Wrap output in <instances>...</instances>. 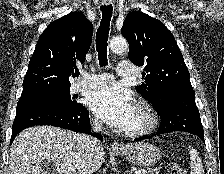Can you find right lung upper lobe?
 Wrapping results in <instances>:
<instances>
[{
  "mask_svg": "<svg viewBox=\"0 0 224 174\" xmlns=\"http://www.w3.org/2000/svg\"><path fill=\"white\" fill-rule=\"evenodd\" d=\"M93 34L92 23L71 12L52 22L40 36L23 81L22 94L45 86H70L77 62L84 63Z\"/></svg>",
  "mask_w": 224,
  "mask_h": 174,
  "instance_id": "1",
  "label": "right lung upper lobe"
}]
</instances>
